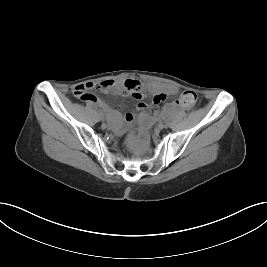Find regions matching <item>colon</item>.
Returning a JSON list of instances; mask_svg holds the SVG:
<instances>
[{
	"label": "colon",
	"instance_id": "1",
	"mask_svg": "<svg viewBox=\"0 0 267 267\" xmlns=\"http://www.w3.org/2000/svg\"><path fill=\"white\" fill-rule=\"evenodd\" d=\"M106 83L104 82H100V83H85L83 84V86H79L76 88V96L80 99V100H89L91 98H93L94 96L90 93L91 90H104L106 89ZM125 88L126 91L129 92L130 94H132L133 96H140V85L133 80H127L125 82ZM166 98V96L164 94H159L157 96L154 97V102L155 103H160L162 101H164ZM197 101V94L194 91L191 90H187L184 91L181 96L179 97L178 103L189 109L191 107L194 106V104Z\"/></svg>",
	"mask_w": 267,
	"mask_h": 267
}]
</instances>
